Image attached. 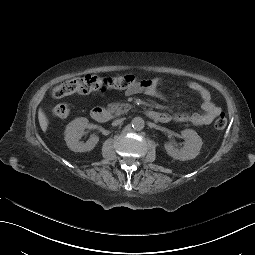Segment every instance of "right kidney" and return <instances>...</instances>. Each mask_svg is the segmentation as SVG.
Wrapping results in <instances>:
<instances>
[{
	"mask_svg": "<svg viewBox=\"0 0 255 255\" xmlns=\"http://www.w3.org/2000/svg\"><path fill=\"white\" fill-rule=\"evenodd\" d=\"M88 127V119L81 117L71 121L65 130V141L67 146L74 152H86L92 150L98 143L99 138L92 135L86 143L80 142L84 130Z\"/></svg>",
	"mask_w": 255,
	"mask_h": 255,
	"instance_id": "obj_1",
	"label": "right kidney"
}]
</instances>
